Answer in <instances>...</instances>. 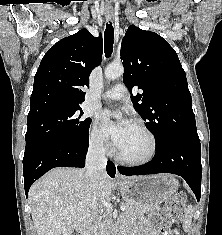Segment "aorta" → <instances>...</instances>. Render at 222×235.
Returning a JSON list of instances; mask_svg holds the SVG:
<instances>
[{"label": "aorta", "instance_id": "aorta-1", "mask_svg": "<svg viewBox=\"0 0 222 235\" xmlns=\"http://www.w3.org/2000/svg\"><path fill=\"white\" fill-rule=\"evenodd\" d=\"M124 73V67L120 63H112L105 69V77L108 80H114ZM107 235H110L109 233Z\"/></svg>", "mask_w": 222, "mask_h": 235}]
</instances>
